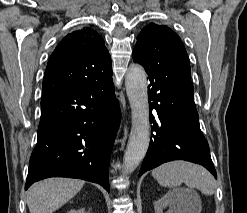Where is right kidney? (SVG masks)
Masks as SVG:
<instances>
[{
    "instance_id": "ca27d5eb",
    "label": "right kidney",
    "mask_w": 247,
    "mask_h": 213,
    "mask_svg": "<svg viewBox=\"0 0 247 213\" xmlns=\"http://www.w3.org/2000/svg\"><path fill=\"white\" fill-rule=\"evenodd\" d=\"M67 213H87V212H85V209L82 208V209H78V210L71 209Z\"/></svg>"
}]
</instances>
